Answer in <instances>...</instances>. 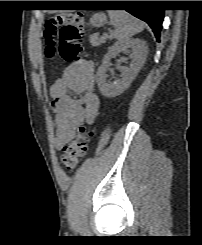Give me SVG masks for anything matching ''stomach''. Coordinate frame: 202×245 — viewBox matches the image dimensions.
Wrapping results in <instances>:
<instances>
[{
	"label": "stomach",
	"mask_w": 202,
	"mask_h": 245,
	"mask_svg": "<svg viewBox=\"0 0 202 245\" xmlns=\"http://www.w3.org/2000/svg\"><path fill=\"white\" fill-rule=\"evenodd\" d=\"M107 22V18L103 13H96L90 18V23L93 26L100 27Z\"/></svg>",
	"instance_id": "obj_1"
}]
</instances>
